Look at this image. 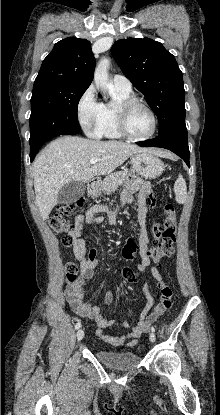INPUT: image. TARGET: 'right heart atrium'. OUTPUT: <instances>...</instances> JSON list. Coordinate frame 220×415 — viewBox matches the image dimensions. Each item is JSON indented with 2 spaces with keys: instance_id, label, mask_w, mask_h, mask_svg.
I'll return each instance as SVG.
<instances>
[{
  "instance_id": "right-heart-atrium-1",
  "label": "right heart atrium",
  "mask_w": 220,
  "mask_h": 415,
  "mask_svg": "<svg viewBox=\"0 0 220 415\" xmlns=\"http://www.w3.org/2000/svg\"><path fill=\"white\" fill-rule=\"evenodd\" d=\"M77 115L82 129L93 138H100V129L104 118V104L97 98L94 86H90L80 97Z\"/></svg>"
}]
</instances>
